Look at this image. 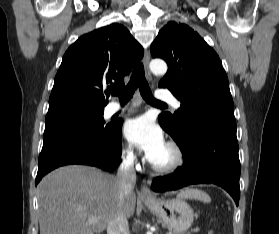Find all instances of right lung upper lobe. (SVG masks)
<instances>
[{"label":"right lung upper lobe","instance_id":"right-lung-upper-lobe-1","mask_svg":"<svg viewBox=\"0 0 279 234\" xmlns=\"http://www.w3.org/2000/svg\"><path fill=\"white\" fill-rule=\"evenodd\" d=\"M143 48L117 23L82 35L65 52L55 76L49 110L67 105L103 108V89L123 86ZM108 97L107 90L105 91Z\"/></svg>","mask_w":279,"mask_h":234}]
</instances>
